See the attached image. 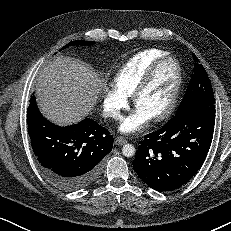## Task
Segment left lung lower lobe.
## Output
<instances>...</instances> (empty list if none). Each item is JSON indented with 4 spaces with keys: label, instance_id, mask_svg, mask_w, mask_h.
<instances>
[{
    "label": "left lung lower lobe",
    "instance_id": "obj_1",
    "mask_svg": "<svg viewBox=\"0 0 231 231\" xmlns=\"http://www.w3.org/2000/svg\"><path fill=\"white\" fill-rule=\"evenodd\" d=\"M215 106H193L177 113L161 129L146 135L133 161L139 178L158 192L186 184L210 149Z\"/></svg>",
    "mask_w": 231,
    "mask_h": 231
}]
</instances>
